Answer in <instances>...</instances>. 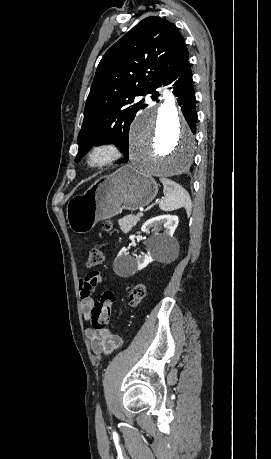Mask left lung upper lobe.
<instances>
[{
	"label": "left lung upper lobe",
	"instance_id": "left-lung-upper-lobe-1",
	"mask_svg": "<svg viewBox=\"0 0 271 459\" xmlns=\"http://www.w3.org/2000/svg\"><path fill=\"white\" fill-rule=\"evenodd\" d=\"M189 59L177 27L160 17L143 19L116 42L101 59L88 95L77 141L76 161L89 148L113 142L128 156V133L144 100Z\"/></svg>",
	"mask_w": 271,
	"mask_h": 459
}]
</instances>
